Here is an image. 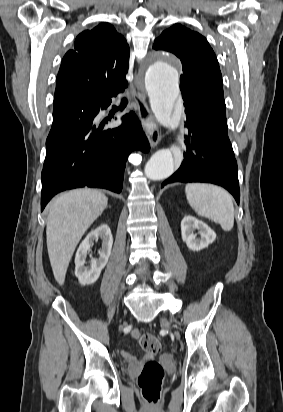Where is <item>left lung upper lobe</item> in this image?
Instances as JSON below:
<instances>
[{"label": "left lung upper lobe", "instance_id": "obj_1", "mask_svg": "<svg viewBox=\"0 0 283 412\" xmlns=\"http://www.w3.org/2000/svg\"><path fill=\"white\" fill-rule=\"evenodd\" d=\"M154 49L171 52L181 60L180 90L184 105L196 108L211 121L226 122L222 76L207 40L199 33L175 24L155 40Z\"/></svg>", "mask_w": 283, "mask_h": 412}]
</instances>
